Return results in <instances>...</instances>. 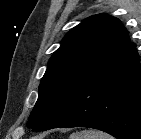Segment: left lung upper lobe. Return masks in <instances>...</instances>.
<instances>
[{
	"instance_id": "5c2ea615",
	"label": "left lung upper lobe",
	"mask_w": 141,
	"mask_h": 139,
	"mask_svg": "<svg viewBox=\"0 0 141 139\" xmlns=\"http://www.w3.org/2000/svg\"><path fill=\"white\" fill-rule=\"evenodd\" d=\"M129 43L121 21L106 14L71 29L49 60L28 126L42 130L86 78Z\"/></svg>"
}]
</instances>
